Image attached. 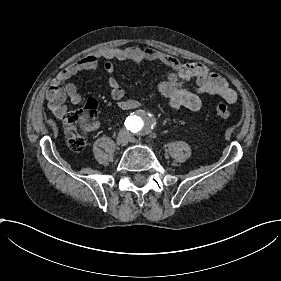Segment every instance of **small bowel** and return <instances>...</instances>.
<instances>
[{
	"instance_id": "1",
	"label": "small bowel",
	"mask_w": 281,
	"mask_h": 281,
	"mask_svg": "<svg viewBox=\"0 0 281 281\" xmlns=\"http://www.w3.org/2000/svg\"><path fill=\"white\" fill-rule=\"evenodd\" d=\"M105 60L136 63L157 62L169 67L170 71L166 78L159 83L158 88L169 99L172 109L176 112L199 111L202 108L201 97L204 94L218 95L227 103H235L237 100L236 92L229 82L205 64H182L169 53L146 47L104 48L69 66L59 76V81L49 87L46 98L57 119L61 121L68 119L69 108L66 101L73 105L82 101L81 93L73 83L69 82V79L78 73L95 70L99 63ZM106 69L111 72L113 65L106 64ZM190 79H194L197 83L195 90L189 88L188 81ZM59 82L62 83V86L58 84ZM108 85L113 101L121 110L133 111L140 108V104L136 100L125 97L123 89L115 78H110ZM91 125L96 129L100 124L95 120Z\"/></svg>"
}]
</instances>
